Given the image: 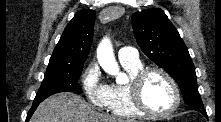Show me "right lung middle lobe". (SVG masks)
<instances>
[{"mask_svg":"<svg viewBox=\"0 0 221 122\" xmlns=\"http://www.w3.org/2000/svg\"><path fill=\"white\" fill-rule=\"evenodd\" d=\"M84 64H52L48 65L41 87L34 99L35 103L42 102L47 97L59 92H82L78 79Z\"/></svg>","mask_w":221,"mask_h":122,"instance_id":"right-lung-middle-lobe-1","label":"right lung middle lobe"}]
</instances>
